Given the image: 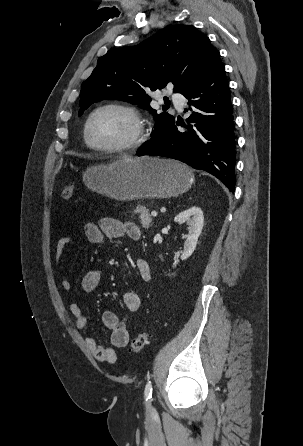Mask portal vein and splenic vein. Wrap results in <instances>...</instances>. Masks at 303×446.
Here are the masks:
<instances>
[{"label": "portal vein and splenic vein", "instance_id": "18ae733b", "mask_svg": "<svg viewBox=\"0 0 303 446\" xmlns=\"http://www.w3.org/2000/svg\"><path fill=\"white\" fill-rule=\"evenodd\" d=\"M151 215H152L153 217H156V216H157V212H156V211H152V212H151Z\"/></svg>", "mask_w": 303, "mask_h": 446}]
</instances>
